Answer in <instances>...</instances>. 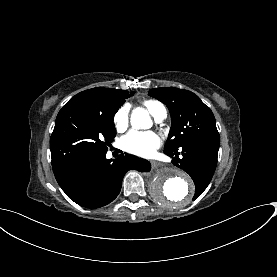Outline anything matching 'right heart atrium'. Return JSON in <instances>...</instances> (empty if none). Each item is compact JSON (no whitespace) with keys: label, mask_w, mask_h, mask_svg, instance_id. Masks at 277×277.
<instances>
[{"label":"right heart atrium","mask_w":277,"mask_h":277,"mask_svg":"<svg viewBox=\"0 0 277 277\" xmlns=\"http://www.w3.org/2000/svg\"><path fill=\"white\" fill-rule=\"evenodd\" d=\"M114 124L117 130L124 131L128 126V116L124 109L119 110L114 117Z\"/></svg>","instance_id":"d8ad5b80"}]
</instances>
